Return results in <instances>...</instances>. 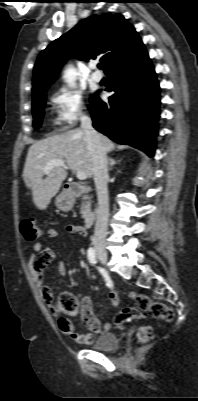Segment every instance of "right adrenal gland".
<instances>
[{
	"label": "right adrenal gland",
	"instance_id": "right-adrenal-gland-1",
	"mask_svg": "<svg viewBox=\"0 0 198 401\" xmlns=\"http://www.w3.org/2000/svg\"><path fill=\"white\" fill-rule=\"evenodd\" d=\"M119 162H120V160L115 161L112 157H110V158L108 159V163H109V169H108V170H112V167H113L115 164L119 163Z\"/></svg>",
	"mask_w": 198,
	"mask_h": 401
}]
</instances>
